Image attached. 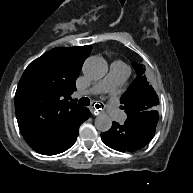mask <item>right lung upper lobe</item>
<instances>
[{"label": "right lung upper lobe", "mask_w": 193, "mask_h": 193, "mask_svg": "<svg viewBox=\"0 0 193 193\" xmlns=\"http://www.w3.org/2000/svg\"><path fill=\"white\" fill-rule=\"evenodd\" d=\"M91 45L54 48L34 60L23 73L15 94L19 129L31 148L61 138L85 108L68 98Z\"/></svg>", "instance_id": "cb5924a9"}]
</instances>
